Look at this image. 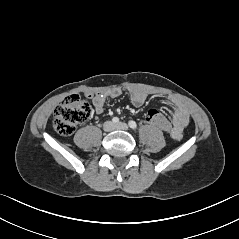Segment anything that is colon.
I'll use <instances>...</instances> for the list:
<instances>
[{
  "label": "colon",
  "instance_id": "obj_1",
  "mask_svg": "<svg viewBox=\"0 0 239 239\" xmlns=\"http://www.w3.org/2000/svg\"><path fill=\"white\" fill-rule=\"evenodd\" d=\"M90 103L79 95L65 97L56 107L53 126L57 133L63 136L71 135L76 127L85 122L91 116ZM144 123L147 126L157 127L159 130H167L170 120L161 113L158 107H151L144 115Z\"/></svg>",
  "mask_w": 239,
  "mask_h": 239
}]
</instances>
